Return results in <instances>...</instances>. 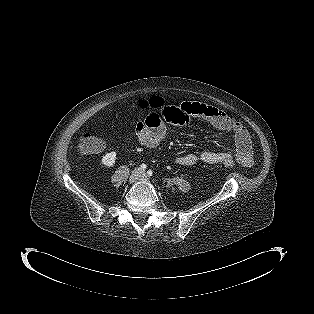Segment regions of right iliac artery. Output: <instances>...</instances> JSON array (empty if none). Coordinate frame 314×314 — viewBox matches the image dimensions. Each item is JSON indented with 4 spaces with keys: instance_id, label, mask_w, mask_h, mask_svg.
Wrapping results in <instances>:
<instances>
[{
    "instance_id": "1",
    "label": "right iliac artery",
    "mask_w": 314,
    "mask_h": 314,
    "mask_svg": "<svg viewBox=\"0 0 314 314\" xmlns=\"http://www.w3.org/2000/svg\"><path fill=\"white\" fill-rule=\"evenodd\" d=\"M146 168H147L146 164H142V165L140 166V169H141V170H145Z\"/></svg>"
}]
</instances>
